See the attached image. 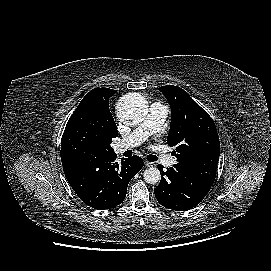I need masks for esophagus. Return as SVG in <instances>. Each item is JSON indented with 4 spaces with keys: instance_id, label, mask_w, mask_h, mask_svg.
I'll use <instances>...</instances> for the list:
<instances>
[{
    "instance_id": "obj_1",
    "label": "esophagus",
    "mask_w": 271,
    "mask_h": 271,
    "mask_svg": "<svg viewBox=\"0 0 271 271\" xmlns=\"http://www.w3.org/2000/svg\"><path fill=\"white\" fill-rule=\"evenodd\" d=\"M144 164L147 166V167H152L154 164L152 162H149L147 160L144 161Z\"/></svg>"
}]
</instances>
